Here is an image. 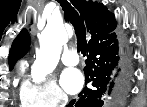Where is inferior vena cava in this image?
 <instances>
[{
    "label": "inferior vena cava",
    "instance_id": "1",
    "mask_svg": "<svg viewBox=\"0 0 147 107\" xmlns=\"http://www.w3.org/2000/svg\"><path fill=\"white\" fill-rule=\"evenodd\" d=\"M63 99H64V102H67V100H68L66 95H64Z\"/></svg>",
    "mask_w": 147,
    "mask_h": 107
}]
</instances>
